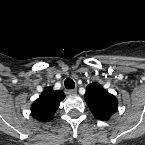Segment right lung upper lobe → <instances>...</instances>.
<instances>
[{
    "instance_id": "cb5924a9",
    "label": "right lung upper lobe",
    "mask_w": 145,
    "mask_h": 145,
    "mask_svg": "<svg viewBox=\"0 0 145 145\" xmlns=\"http://www.w3.org/2000/svg\"><path fill=\"white\" fill-rule=\"evenodd\" d=\"M64 98L63 92L46 87L40 97L31 105L32 116L41 122L50 121Z\"/></svg>"
}]
</instances>
